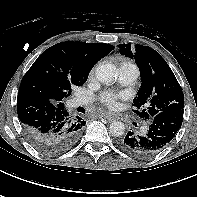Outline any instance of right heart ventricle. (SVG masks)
I'll return each instance as SVG.
<instances>
[{"mask_svg": "<svg viewBox=\"0 0 197 197\" xmlns=\"http://www.w3.org/2000/svg\"><path fill=\"white\" fill-rule=\"evenodd\" d=\"M123 64H132L133 65V63L132 62H129V61H125L121 65H123Z\"/></svg>", "mask_w": 197, "mask_h": 197, "instance_id": "obj_1", "label": "right heart ventricle"}]
</instances>
